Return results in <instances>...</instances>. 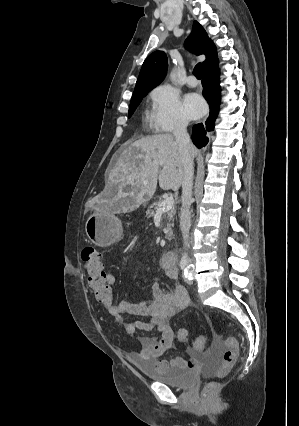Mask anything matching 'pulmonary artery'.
<instances>
[{
  "mask_svg": "<svg viewBox=\"0 0 299 426\" xmlns=\"http://www.w3.org/2000/svg\"><path fill=\"white\" fill-rule=\"evenodd\" d=\"M186 83L190 87H195V86H197L198 81L193 75H190V76L187 77Z\"/></svg>",
  "mask_w": 299,
  "mask_h": 426,
  "instance_id": "pulmonary-artery-1",
  "label": "pulmonary artery"
}]
</instances>
